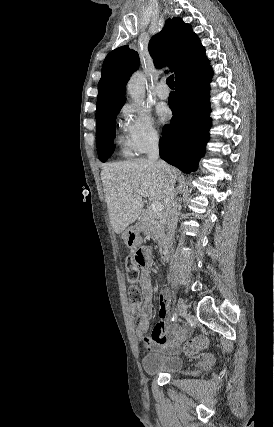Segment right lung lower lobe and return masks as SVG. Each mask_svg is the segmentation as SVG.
<instances>
[{
	"instance_id": "right-lung-lower-lobe-1",
	"label": "right lung lower lobe",
	"mask_w": 274,
	"mask_h": 427,
	"mask_svg": "<svg viewBox=\"0 0 274 427\" xmlns=\"http://www.w3.org/2000/svg\"><path fill=\"white\" fill-rule=\"evenodd\" d=\"M208 64L192 68L175 80L176 91L169 98L173 117L163 127L159 141L160 157L185 173L197 169L209 140V83L213 72Z\"/></svg>"
}]
</instances>
